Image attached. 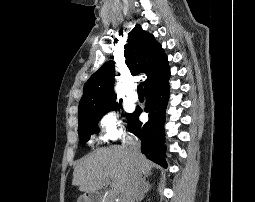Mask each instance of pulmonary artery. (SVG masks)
Wrapping results in <instances>:
<instances>
[{"label": "pulmonary artery", "mask_w": 255, "mask_h": 202, "mask_svg": "<svg viewBox=\"0 0 255 202\" xmlns=\"http://www.w3.org/2000/svg\"><path fill=\"white\" fill-rule=\"evenodd\" d=\"M127 98L130 102H137L138 101V95L136 93L135 90H131L128 95Z\"/></svg>", "instance_id": "pulmonary-artery-1"}]
</instances>
